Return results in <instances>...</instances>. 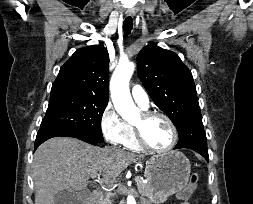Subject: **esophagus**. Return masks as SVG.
<instances>
[{"instance_id":"esophagus-1","label":"esophagus","mask_w":253,"mask_h":204,"mask_svg":"<svg viewBox=\"0 0 253 204\" xmlns=\"http://www.w3.org/2000/svg\"><path fill=\"white\" fill-rule=\"evenodd\" d=\"M126 14H127V16H134L135 15V11L133 9H128L126 11Z\"/></svg>"}]
</instances>
